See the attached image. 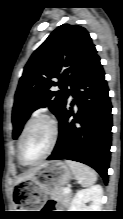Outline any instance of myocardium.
<instances>
[{"label": "myocardium", "mask_w": 123, "mask_h": 219, "mask_svg": "<svg viewBox=\"0 0 123 219\" xmlns=\"http://www.w3.org/2000/svg\"><path fill=\"white\" fill-rule=\"evenodd\" d=\"M39 121L45 122L49 126L50 131H51L50 142H49V145H48V148H47L46 152L44 153V155L40 159H38L37 161H34V162H28V161L25 160V158L23 156V142H24L25 136L28 133L31 126L33 124H35L36 122H39ZM57 139H58V126H57L56 121L50 115L45 114V113H39V114L34 115L27 122V124L25 125V127L23 129V132L20 136L19 144H18V157H19V160L21 161L22 164H24L26 166H34V165H37V164L41 163L53 151V149L56 145Z\"/></svg>", "instance_id": "1"}]
</instances>
